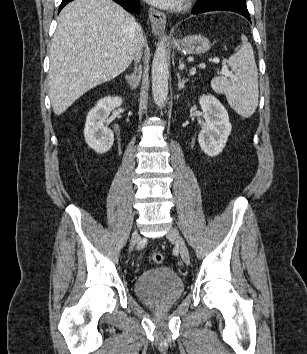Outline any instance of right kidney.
I'll use <instances>...</instances> for the list:
<instances>
[{"mask_svg": "<svg viewBox=\"0 0 307 354\" xmlns=\"http://www.w3.org/2000/svg\"><path fill=\"white\" fill-rule=\"evenodd\" d=\"M123 104L121 97L101 98L87 115L84 137L88 146L96 153H106L114 143V134L105 126L110 112Z\"/></svg>", "mask_w": 307, "mask_h": 354, "instance_id": "right-kidney-1", "label": "right kidney"}]
</instances>
